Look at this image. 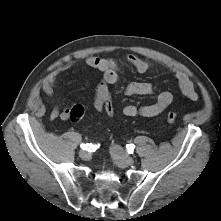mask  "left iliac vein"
<instances>
[{"instance_id": "obj_1", "label": "left iliac vein", "mask_w": 221, "mask_h": 221, "mask_svg": "<svg viewBox=\"0 0 221 221\" xmlns=\"http://www.w3.org/2000/svg\"><path fill=\"white\" fill-rule=\"evenodd\" d=\"M111 156L119 167H126L134 163V158L127 156L119 145H113L110 148Z\"/></svg>"}]
</instances>
